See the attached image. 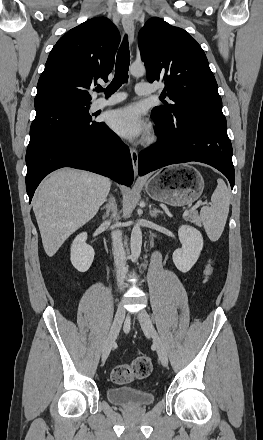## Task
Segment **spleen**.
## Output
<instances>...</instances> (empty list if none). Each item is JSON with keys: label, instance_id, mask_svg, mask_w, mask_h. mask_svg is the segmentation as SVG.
<instances>
[{"label": "spleen", "instance_id": "obj_1", "mask_svg": "<svg viewBox=\"0 0 263 440\" xmlns=\"http://www.w3.org/2000/svg\"><path fill=\"white\" fill-rule=\"evenodd\" d=\"M231 194L223 179L217 180V187L212 194L210 207L201 208L200 216L209 239L217 241L226 224Z\"/></svg>", "mask_w": 263, "mask_h": 440}]
</instances>
